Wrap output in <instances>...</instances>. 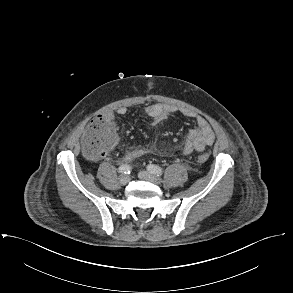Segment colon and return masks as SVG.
<instances>
[{"mask_svg": "<svg viewBox=\"0 0 293 293\" xmlns=\"http://www.w3.org/2000/svg\"><path fill=\"white\" fill-rule=\"evenodd\" d=\"M116 127L113 122L103 116L93 117L83 137V151L91 159L102 157L109 149L116 145ZM210 155L207 152L198 155L200 163L208 161Z\"/></svg>", "mask_w": 293, "mask_h": 293, "instance_id": "1", "label": "colon"}]
</instances>
